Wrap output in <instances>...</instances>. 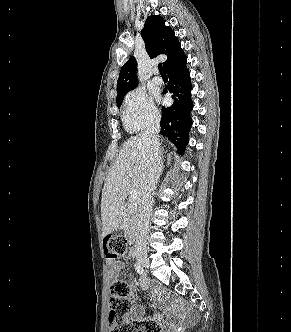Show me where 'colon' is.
Wrapping results in <instances>:
<instances>
[{"label":"colon","mask_w":291,"mask_h":332,"mask_svg":"<svg viewBox=\"0 0 291 332\" xmlns=\"http://www.w3.org/2000/svg\"><path fill=\"white\" fill-rule=\"evenodd\" d=\"M107 258L125 255L128 241L121 234H110L104 238ZM109 299V324L111 332H161L159 324L153 319L130 320L127 314L131 310L130 287L122 280L111 285Z\"/></svg>","instance_id":"colon-1"}]
</instances>
